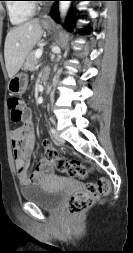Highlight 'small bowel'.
Wrapping results in <instances>:
<instances>
[{
  "label": "small bowel",
  "mask_w": 133,
  "mask_h": 253,
  "mask_svg": "<svg viewBox=\"0 0 133 253\" xmlns=\"http://www.w3.org/2000/svg\"><path fill=\"white\" fill-rule=\"evenodd\" d=\"M11 141L16 176L21 185L26 186L41 182L54 172L52 165L42 159L37 165L36 170L32 174H28V167L35 143L32 113L29 109H26L23 125L12 131Z\"/></svg>",
  "instance_id": "1"
}]
</instances>
